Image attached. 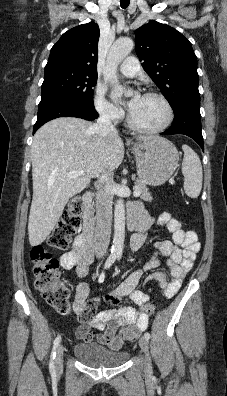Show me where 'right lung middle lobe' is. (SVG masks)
Returning <instances> with one entry per match:
<instances>
[{"label": "right lung middle lobe", "mask_w": 227, "mask_h": 396, "mask_svg": "<svg viewBox=\"0 0 227 396\" xmlns=\"http://www.w3.org/2000/svg\"><path fill=\"white\" fill-rule=\"evenodd\" d=\"M96 82L97 75L69 70L45 71L41 100L64 97L94 107L92 87Z\"/></svg>", "instance_id": "1"}]
</instances>
